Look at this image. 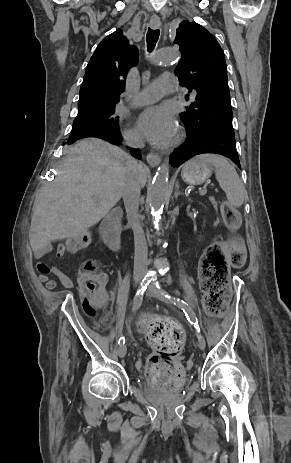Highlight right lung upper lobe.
<instances>
[{
	"instance_id": "right-lung-upper-lobe-1",
	"label": "right lung upper lobe",
	"mask_w": 291,
	"mask_h": 463,
	"mask_svg": "<svg viewBox=\"0 0 291 463\" xmlns=\"http://www.w3.org/2000/svg\"><path fill=\"white\" fill-rule=\"evenodd\" d=\"M138 56V49L129 45L121 29L105 37L86 67L77 117L115 107L125 90L126 75L137 65Z\"/></svg>"
}]
</instances>
